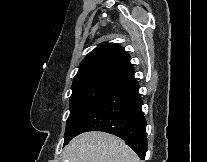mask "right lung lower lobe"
Instances as JSON below:
<instances>
[{
	"label": "right lung lower lobe",
	"mask_w": 207,
	"mask_h": 162,
	"mask_svg": "<svg viewBox=\"0 0 207 162\" xmlns=\"http://www.w3.org/2000/svg\"><path fill=\"white\" fill-rule=\"evenodd\" d=\"M145 127L139 85L133 77L103 99L79 124L70 140L87 131L107 132L123 139L144 160Z\"/></svg>",
	"instance_id": "1"
}]
</instances>
